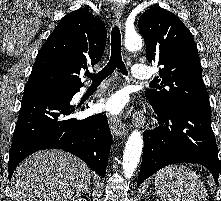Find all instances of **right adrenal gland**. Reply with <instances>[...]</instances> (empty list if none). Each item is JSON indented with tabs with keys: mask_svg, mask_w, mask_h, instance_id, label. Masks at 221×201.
<instances>
[{
	"mask_svg": "<svg viewBox=\"0 0 221 201\" xmlns=\"http://www.w3.org/2000/svg\"><path fill=\"white\" fill-rule=\"evenodd\" d=\"M87 193H88L89 195L91 194V187L88 189V191L85 192V194H87Z\"/></svg>",
	"mask_w": 221,
	"mask_h": 201,
	"instance_id": "2a0ac1e0",
	"label": "right adrenal gland"
}]
</instances>
